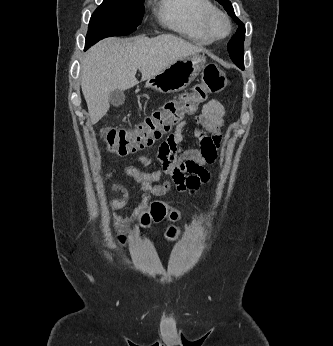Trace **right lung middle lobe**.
<instances>
[{"label":"right lung middle lobe","instance_id":"dd1d6c3e","mask_svg":"<svg viewBox=\"0 0 333 346\" xmlns=\"http://www.w3.org/2000/svg\"><path fill=\"white\" fill-rule=\"evenodd\" d=\"M144 0H104L91 16L85 49L110 36H124L136 30L143 18Z\"/></svg>","mask_w":333,"mask_h":346}]
</instances>
